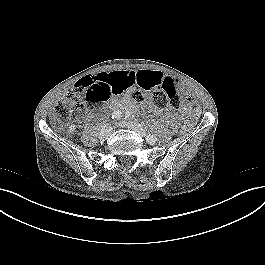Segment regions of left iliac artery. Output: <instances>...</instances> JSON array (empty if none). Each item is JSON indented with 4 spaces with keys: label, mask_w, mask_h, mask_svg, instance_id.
Returning <instances> with one entry per match:
<instances>
[{
    "label": "left iliac artery",
    "mask_w": 265,
    "mask_h": 265,
    "mask_svg": "<svg viewBox=\"0 0 265 265\" xmlns=\"http://www.w3.org/2000/svg\"><path fill=\"white\" fill-rule=\"evenodd\" d=\"M154 138H155V136L154 135H152V134H149L148 136H147V140H154Z\"/></svg>",
    "instance_id": "obj_1"
}]
</instances>
